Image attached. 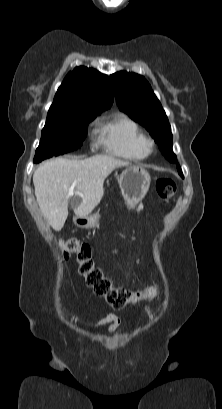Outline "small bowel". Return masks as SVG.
<instances>
[{
  "label": "small bowel",
  "mask_w": 222,
  "mask_h": 409,
  "mask_svg": "<svg viewBox=\"0 0 222 409\" xmlns=\"http://www.w3.org/2000/svg\"><path fill=\"white\" fill-rule=\"evenodd\" d=\"M142 209V205L136 207L137 211ZM120 325V318L115 314L109 313L103 318L99 319L96 323L92 324L90 328L95 329L99 327L108 326L109 332H113Z\"/></svg>",
  "instance_id": "1"
}]
</instances>
